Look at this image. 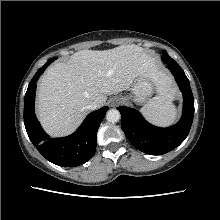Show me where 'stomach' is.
<instances>
[{
	"label": "stomach",
	"mask_w": 220,
	"mask_h": 220,
	"mask_svg": "<svg viewBox=\"0 0 220 220\" xmlns=\"http://www.w3.org/2000/svg\"><path fill=\"white\" fill-rule=\"evenodd\" d=\"M130 93L123 96V101H133L137 104L145 103L154 92V83L151 77L141 76L132 84Z\"/></svg>",
	"instance_id": "obj_1"
}]
</instances>
